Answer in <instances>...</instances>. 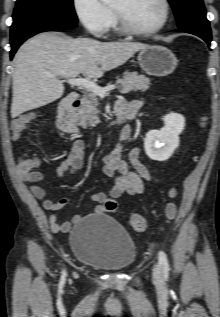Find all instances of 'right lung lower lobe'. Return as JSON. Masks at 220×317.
Wrapping results in <instances>:
<instances>
[{"mask_svg": "<svg viewBox=\"0 0 220 317\" xmlns=\"http://www.w3.org/2000/svg\"><path fill=\"white\" fill-rule=\"evenodd\" d=\"M77 27L76 23L68 22L62 19L45 18L28 21L20 25L15 30H11V51L12 59L18 47L31 36L44 31H62Z\"/></svg>", "mask_w": 220, "mask_h": 317, "instance_id": "right-lung-lower-lobe-1", "label": "right lung lower lobe"}]
</instances>
